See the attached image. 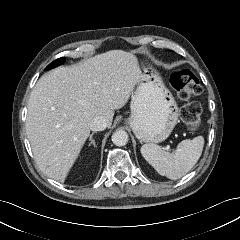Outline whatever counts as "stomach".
Returning <instances> with one entry per match:
<instances>
[{"label": "stomach", "instance_id": "1", "mask_svg": "<svg viewBox=\"0 0 240 240\" xmlns=\"http://www.w3.org/2000/svg\"><path fill=\"white\" fill-rule=\"evenodd\" d=\"M127 124L145 143L164 141L178 122V106L154 65L144 59L141 79L132 94Z\"/></svg>", "mask_w": 240, "mask_h": 240}]
</instances>
